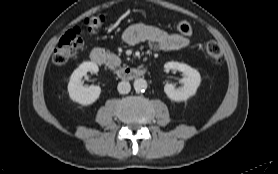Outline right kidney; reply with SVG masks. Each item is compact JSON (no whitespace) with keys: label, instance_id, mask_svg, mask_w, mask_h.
Instances as JSON below:
<instances>
[{"label":"right kidney","instance_id":"obj_1","mask_svg":"<svg viewBox=\"0 0 278 174\" xmlns=\"http://www.w3.org/2000/svg\"><path fill=\"white\" fill-rule=\"evenodd\" d=\"M98 66L94 62H83L77 69L74 70L68 83V92L70 98L82 105H90L94 103L100 96L101 88L91 85L83 86L81 79L87 72L97 73Z\"/></svg>","mask_w":278,"mask_h":174}]
</instances>
